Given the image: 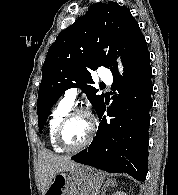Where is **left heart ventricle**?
<instances>
[{"instance_id":"b2bd125f","label":"left heart ventricle","mask_w":178,"mask_h":195,"mask_svg":"<svg viewBox=\"0 0 178 195\" xmlns=\"http://www.w3.org/2000/svg\"><path fill=\"white\" fill-rule=\"evenodd\" d=\"M89 128L87 117L78 116L73 118L64 129V143L69 147H76L82 144L89 135Z\"/></svg>"}]
</instances>
